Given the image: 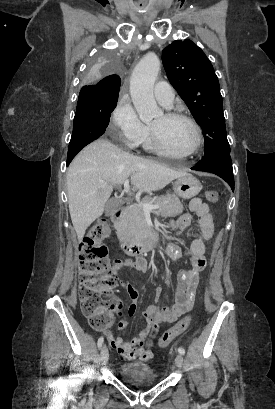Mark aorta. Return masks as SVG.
<instances>
[{"instance_id":"obj_1","label":"aorta","mask_w":275,"mask_h":409,"mask_svg":"<svg viewBox=\"0 0 275 409\" xmlns=\"http://www.w3.org/2000/svg\"><path fill=\"white\" fill-rule=\"evenodd\" d=\"M160 58V51H147L146 56H143L136 64L130 80L133 104L139 118L147 124L150 120H155L164 114L162 108L157 106L153 94L154 82L160 70Z\"/></svg>"}]
</instances>
